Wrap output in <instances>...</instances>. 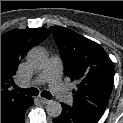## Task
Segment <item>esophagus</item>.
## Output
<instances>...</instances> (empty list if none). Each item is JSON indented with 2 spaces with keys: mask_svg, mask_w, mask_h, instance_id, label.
<instances>
[{
  "mask_svg": "<svg viewBox=\"0 0 123 123\" xmlns=\"http://www.w3.org/2000/svg\"><path fill=\"white\" fill-rule=\"evenodd\" d=\"M39 101H40L41 103H43V104H48V103L51 102V100L46 99V98H43V97H40V98H39Z\"/></svg>",
  "mask_w": 123,
  "mask_h": 123,
  "instance_id": "obj_1",
  "label": "esophagus"
}]
</instances>
